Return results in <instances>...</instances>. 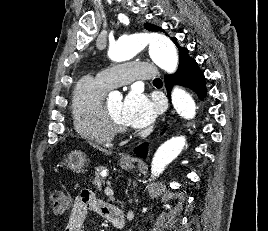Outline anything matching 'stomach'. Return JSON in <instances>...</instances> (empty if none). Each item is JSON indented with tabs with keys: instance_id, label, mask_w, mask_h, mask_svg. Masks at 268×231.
<instances>
[{
	"instance_id": "stomach-1",
	"label": "stomach",
	"mask_w": 268,
	"mask_h": 231,
	"mask_svg": "<svg viewBox=\"0 0 268 231\" xmlns=\"http://www.w3.org/2000/svg\"><path fill=\"white\" fill-rule=\"evenodd\" d=\"M62 166H66L76 173H84L87 166V156L85 153L74 150L64 159ZM120 166L125 170H131L134 165L131 161H121Z\"/></svg>"
}]
</instances>
